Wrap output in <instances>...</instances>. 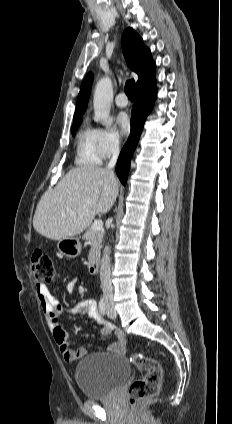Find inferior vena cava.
I'll return each mask as SVG.
<instances>
[{
	"mask_svg": "<svg viewBox=\"0 0 232 424\" xmlns=\"http://www.w3.org/2000/svg\"><path fill=\"white\" fill-rule=\"evenodd\" d=\"M112 148V158L108 165L106 166V171L110 174L113 180H115L113 167L116 165L118 156H119V140L115 139L111 144ZM100 281L101 289L103 292V297L106 301H112L113 299V287L111 283V270H110V257H109V247H105L104 254L101 260L100 267Z\"/></svg>",
	"mask_w": 232,
	"mask_h": 424,
	"instance_id": "602c4592",
	"label": "inferior vena cava"
}]
</instances>
